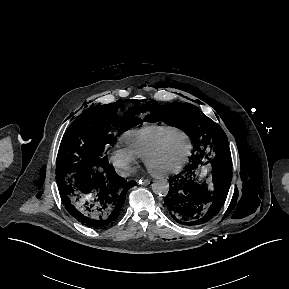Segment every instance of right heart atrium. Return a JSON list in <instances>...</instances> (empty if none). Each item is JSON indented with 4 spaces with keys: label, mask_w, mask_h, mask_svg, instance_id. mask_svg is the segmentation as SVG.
<instances>
[{
    "label": "right heart atrium",
    "mask_w": 289,
    "mask_h": 289,
    "mask_svg": "<svg viewBox=\"0 0 289 289\" xmlns=\"http://www.w3.org/2000/svg\"><path fill=\"white\" fill-rule=\"evenodd\" d=\"M108 161L118 174L126 176L136 165L137 156L127 147L121 144H116L108 153Z\"/></svg>",
    "instance_id": "1"
}]
</instances>
